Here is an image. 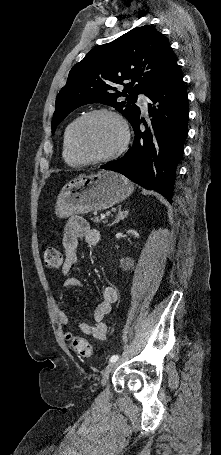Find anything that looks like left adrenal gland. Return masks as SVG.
<instances>
[{
	"mask_svg": "<svg viewBox=\"0 0 221 455\" xmlns=\"http://www.w3.org/2000/svg\"><path fill=\"white\" fill-rule=\"evenodd\" d=\"M128 212L129 210L122 211V206H119L118 215L116 216L115 220L109 224V226H113L114 224L120 222V220H123L127 216Z\"/></svg>",
	"mask_w": 221,
	"mask_h": 455,
	"instance_id": "left-adrenal-gland-1",
	"label": "left adrenal gland"
}]
</instances>
